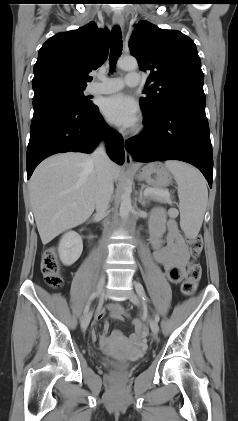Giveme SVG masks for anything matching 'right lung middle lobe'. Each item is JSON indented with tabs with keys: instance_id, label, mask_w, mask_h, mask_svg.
<instances>
[{
	"instance_id": "obj_1",
	"label": "right lung middle lobe",
	"mask_w": 238,
	"mask_h": 421,
	"mask_svg": "<svg viewBox=\"0 0 238 421\" xmlns=\"http://www.w3.org/2000/svg\"><path fill=\"white\" fill-rule=\"evenodd\" d=\"M85 87L74 86L63 83H45L37 86H33L34 94H38L43 91H53L61 95L71 98L75 103L84 107L87 110L94 108V105L89 99L83 94Z\"/></svg>"
}]
</instances>
